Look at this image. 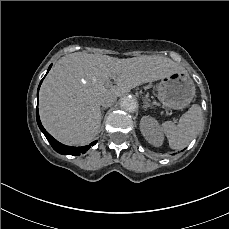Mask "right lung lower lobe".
<instances>
[{
  "instance_id": "right-lung-lower-lobe-1",
  "label": "right lung lower lobe",
  "mask_w": 229,
  "mask_h": 229,
  "mask_svg": "<svg viewBox=\"0 0 229 229\" xmlns=\"http://www.w3.org/2000/svg\"><path fill=\"white\" fill-rule=\"evenodd\" d=\"M51 66L52 65H50V67L48 68V71L50 70ZM48 71H47V73H48ZM43 79L41 80V82L39 84L38 91H37V97H38L39 88H40V85H41ZM36 119H37V123H38V126H39L40 130L43 132V134L45 135V137L47 138V140L51 144L52 148L56 152H58L60 154H63V155H76V156L80 155V154H84L91 146H93V145H95L97 143V141H94L90 145H87V146L72 147V146H66V145L58 142L42 126L41 121H40V117H39V112H38V105H37V108H36Z\"/></svg>"
}]
</instances>
